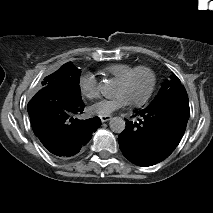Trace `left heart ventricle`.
<instances>
[{
    "label": "left heart ventricle",
    "mask_w": 213,
    "mask_h": 213,
    "mask_svg": "<svg viewBox=\"0 0 213 213\" xmlns=\"http://www.w3.org/2000/svg\"><path fill=\"white\" fill-rule=\"evenodd\" d=\"M145 84H146L145 78L143 76H140L132 84L131 91L138 92L139 90H141L145 86ZM118 92L122 93V94H126L127 91L121 86L118 89Z\"/></svg>",
    "instance_id": "1"
}]
</instances>
